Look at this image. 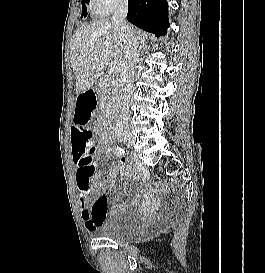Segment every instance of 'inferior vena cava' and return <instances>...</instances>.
I'll return each mask as SVG.
<instances>
[{"mask_svg": "<svg viewBox=\"0 0 265 273\" xmlns=\"http://www.w3.org/2000/svg\"><path fill=\"white\" fill-rule=\"evenodd\" d=\"M128 13L127 0H121L113 14L112 22L120 31L121 37L126 43L125 62L122 68L120 79L122 85V110L116 120L115 133L128 134L129 133V99L133 92V78L139 62L138 41L135 37L133 29L128 25L126 16Z\"/></svg>", "mask_w": 265, "mask_h": 273, "instance_id": "obj_1", "label": "inferior vena cava"}]
</instances>
